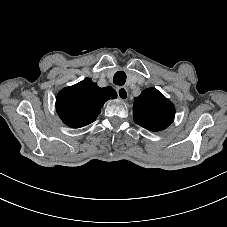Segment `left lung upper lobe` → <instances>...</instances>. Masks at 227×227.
Masks as SVG:
<instances>
[{
    "label": "left lung upper lobe",
    "instance_id": "obj_1",
    "mask_svg": "<svg viewBox=\"0 0 227 227\" xmlns=\"http://www.w3.org/2000/svg\"><path fill=\"white\" fill-rule=\"evenodd\" d=\"M174 115V105L155 88L145 89L135 99L134 121L150 131L167 128L173 122Z\"/></svg>",
    "mask_w": 227,
    "mask_h": 227
}]
</instances>
